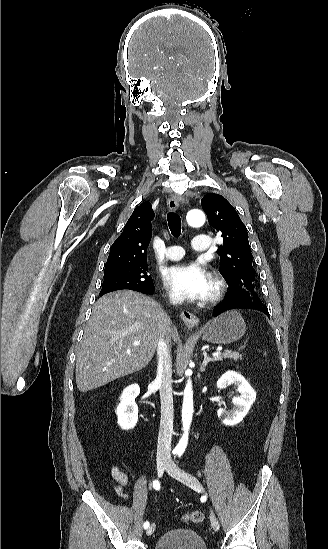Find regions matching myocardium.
I'll use <instances>...</instances> for the list:
<instances>
[{"mask_svg":"<svg viewBox=\"0 0 328 549\" xmlns=\"http://www.w3.org/2000/svg\"><path fill=\"white\" fill-rule=\"evenodd\" d=\"M210 268H215L213 265H209ZM225 282L220 277L213 278L212 290L207 300L211 303L218 301L225 292Z\"/></svg>","mask_w":328,"mask_h":549,"instance_id":"obj_1","label":"myocardium"}]
</instances>
